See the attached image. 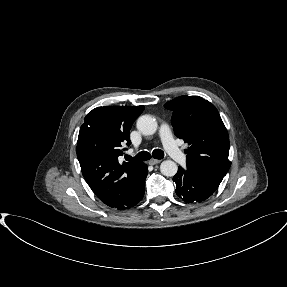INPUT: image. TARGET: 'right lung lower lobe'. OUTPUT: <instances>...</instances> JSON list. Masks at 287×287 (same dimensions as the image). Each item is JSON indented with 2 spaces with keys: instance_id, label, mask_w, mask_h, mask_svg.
<instances>
[{
  "instance_id": "98d812e1",
  "label": "right lung lower lobe",
  "mask_w": 287,
  "mask_h": 287,
  "mask_svg": "<svg viewBox=\"0 0 287 287\" xmlns=\"http://www.w3.org/2000/svg\"><path fill=\"white\" fill-rule=\"evenodd\" d=\"M148 174L147 165L142 163L140 172L135 181L131 184L129 190L125 192L124 196L115 201L110 207L118 210L128 209L135 206L144 196L145 179Z\"/></svg>"
}]
</instances>
